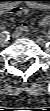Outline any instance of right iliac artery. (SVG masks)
Wrapping results in <instances>:
<instances>
[{
  "label": "right iliac artery",
  "mask_w": 50,
  "mask_h": 111,
  "mask_svg": "<svg viewBox=\"0 0 50 111\" xmlns=\"http://www.w3.org/2000/svg\"><path fill=\"white\" fill-rule=\"evenodd\" d=\"M1 34L4 35L5 37L9 36L7 31L2 32Z\"/></svg>",
  "instance_id": "right-iliac-artery-1"
}]
</instances>
